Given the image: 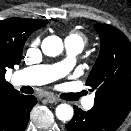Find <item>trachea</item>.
Returning <instances> with one entry per match:
<instances>
[{
	"label": "trachea",
	"mask_w": 131,
	"mask_h": 131,
	"mask_svg": "<svg viewBox=\"0 0 131 131\" xmlns=\"http://www.w3.org/2000/svg\"><path fill=\"white\" fill-rule=\"evenodd\" d=\"M32 92H33V90L31 89V90H28V91H26L25 93H27V94H32ZM70 97H71V101H76V100H78L81 96H83V95H85V92L84 91H82V92H80V93H70V94H68Z\"/></svg>",
	"instance_id": "1"
}]
</instances>
